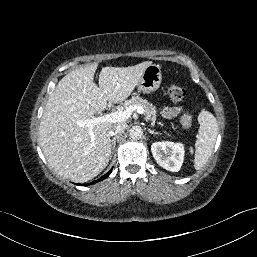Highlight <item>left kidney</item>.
Returning a JSON list of instances; mask_svg holds the SVG:
<instances>
[{
	"instance_id": "left-kidney-1",
	"label": "left kidney",
	"mask_w": 257,
	"mask_h": 257,
	"mask_svg": "<svg viewBox=\"0 0 257 257\" xmlns=\"http://www.w3.org/2000/svg\"><path fill=\"white\" fill-rule=\"evenodd\" d=\"M151 151L161 167L172 172L180 170L185 155L183 144L170 141L155 142L151 145Z\"/></svg>"
}]
</instances>
